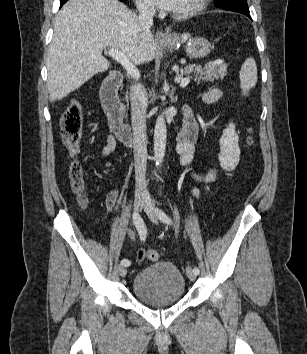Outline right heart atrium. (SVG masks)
<instances>
[{
    "label": "right heart atrium",
    "mask_w": 307,
    "mask_h": 354,
    "mask_svg": "<svg viewBox=\"0 0 307 354\" xmlns=\"http://www.w3.org/2000/svg\"><path fill=\"white\" fill-rule=\"evenodd\" d=\"M136 4L138 8L142 11H152V5L150 3V0H136Z\"/></svg>",
    "instance_id": "1"
}]
</instances>
